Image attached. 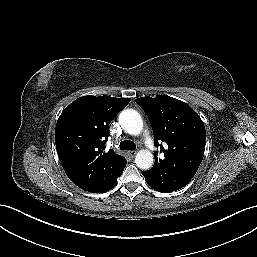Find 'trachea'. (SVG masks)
Segmentation results:
<instances>
[{
  "mask_svg": "<svg viewBox=\"0 0 257 257\" xmlns=\"http://www.w3.org/2000/svg\"><path fill=\"white\" fill-rule=\"evenodd\" d=\"M119 148L121 150H135L136 145L132 141L124 140L121 141Z\"/></svg>",
  "mask_w": 257,
  "mask_h": 257,
  "instance_id": "obj_1",
  "label": "trachea"
}]
</instances>
